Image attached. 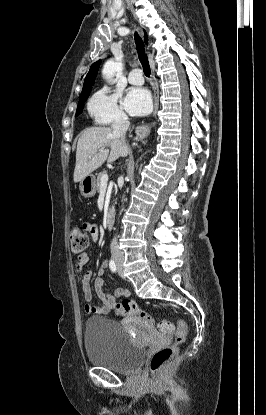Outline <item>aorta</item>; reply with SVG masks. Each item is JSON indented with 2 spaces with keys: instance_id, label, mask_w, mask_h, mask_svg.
Returning a JSON list of instances; mask_svg holds the SVG:
<instances>
[{
  "instance_id": "762f6f07",
  "label": "aorta",
  "mask_w": 266,
  "mask_h": 415,
  "mask_svg": "<svg viewBox=\"0 0 266 415\" xmlns=\"http://www.w3.org/2000/svg\"><path fill=\"white\" fill-rule=\"evenodd\" d=\"M122 69V64L113 59L108 60L103 67V76L111 82L115 73Z\"/></svg>"
}]
</instances>
